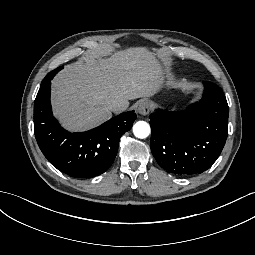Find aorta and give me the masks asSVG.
<instances>
[{
    "mask_svg": "<svg viewBox=\"0 0 255 255\" xmlns=\"http://www.w3.org/2000/svg\"><path fill=\"white\" fill-rule=\"evenodd\" d=\"M133 133L136 137L144 139L150 134V126L147 122L138 121L133 126Z\"/></svg>",
    "mask_w": 255,
    "mask_h": 255,
    "instance_id": "1",
    "label": "aorta"
}]
</instances>
